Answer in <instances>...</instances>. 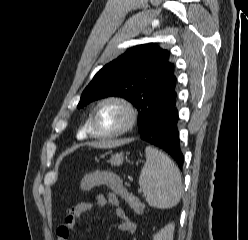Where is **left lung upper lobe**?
I'll return each mask as SVG.
<instances>
[{
	"label": "left lung upper lobe",
	"instance_id": "left-lung-upper-lobe-1",
	"mask_svg": "<svg viewBox=\"0 0 248 240\" xmlns=\"http://www.w3.org/2000/svg\"><path fill=\"white\" fill-rule=\"evenodd\" d=\"M157 44L138 45L99 70L81 95L78 108L107 96H120L138 110L143 132L155 114L176 99L175 65Z\"/></svg>",
	"mask_w": 248,
	"mask_h": 240
}]
</instances>
